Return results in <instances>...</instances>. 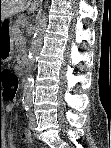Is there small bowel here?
<instances>
[{"label": "small bowel", "instance_id": "obj_1", "mask_svg": "<svg viewBox=\"0 0 111 148\" xmlns=\"http://www.w3.org/2000/svg\"><path fill=\"white\" fill-rule=\"evenodd\" d=\"M13 109H14V104H9V105H7V107H6V110H7L8 112H11ZM13 137H14L13 133H12V132H9L8 138H9L10 141L13 140ZM25 137H26V140H27L28 142L31 141V133H30V132H26V133H25ZM9 147H10V148H15L16 146H15L14 144H10Z\"/></svg>", "mask_w": 111, "mask_h": 148}]
</instances>
